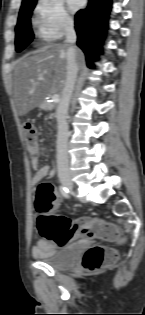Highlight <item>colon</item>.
<instances>
[{"label": "colon", "mask_w": 145, "mask_h": 315, "mask_svg": "<svg viewBox=\"0 0 145 315\" xmlns=\"http://www.w3.org/2000/svg\"><path fill=\"white\" fill-rule=\"evenodd\" d=\"M28 150L35 153L38 149L35 126L25 122L22 126ZM58 203V195L52 183H41L36 191L35 207L39 213L38 229L44 239L55 241L59 245L66 244L76 237L89 239H114L117 229L104 220L83 217L75 221L54 211ZM116 253L101 245L89 247L82 257V266L87 271H97L112 265L116 261Z\"/></svg>", "instance_id": "5ec220e1"}]
</instances>
